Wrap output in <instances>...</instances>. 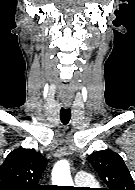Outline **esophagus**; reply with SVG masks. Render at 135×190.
I'll use <instances>...</instances> for the list:
<instances>
[{"label":"esophagus","instance_id":"1","mask_svg":"<svg viewBox=\"0 0 135 190\" xmlns=\"http://www.w3.org/2000/svg\"><path fill=\"white\" fill-rule=\"evenodd\" d=\"M64 106L67 108V107H69V104H64Z\"/></svg>","mask_w":135,"mask_h":190}]
</instances>
